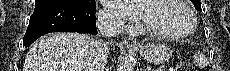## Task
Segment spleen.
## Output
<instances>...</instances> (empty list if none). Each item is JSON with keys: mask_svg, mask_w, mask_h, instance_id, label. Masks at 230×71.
I'll return each instance as SVG.
<instances>
[{"mask_svg": "<svg viewBox=\"0 0 230 71\" xmlns=\"http://www.w3.org/2000/svg\"><path fill=\"white\" fill-rule=\"evenodd\" d=\"M194 59L197 61V64L201 67L207 65V61H205L201 55L195 54Z\"/></svg>", "mask_w": 230, "mask_h": 71, "instance_id": "1", "label": "spleen"}]
</instances>
